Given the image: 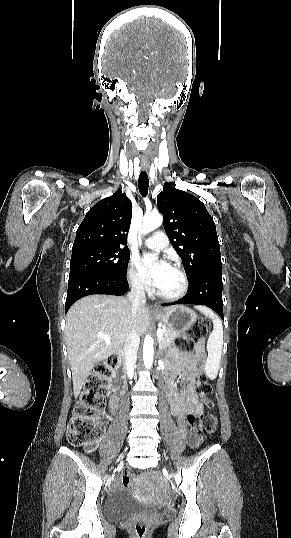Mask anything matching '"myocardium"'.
I'll list each match as a JSON object with an SVG mask.
<instances>
[{"mask_svg": "<svg viewBox=\"0 0 291 538\" xmlns=\"http://www.w3.org/2000/svg\"><path fill=\"white\" fill-rule=\"evenodd\" d=\"M171 268L174 269L181 277L182 286H181L180 290L178 292H176V293H173V294H166V293H163L159 289L156 288L155 289V294L161 299H164V300H167V301H176V300H179V299L183 298L186 295V293L188 292V290H189V279H188V276H187L186 272L179 265L173 264L171 266Z\"/></svg>", "mask_w": 291, "mask_h": 538, "instance_id": "obj_1", "label": "myocardium"}]
</instances>
